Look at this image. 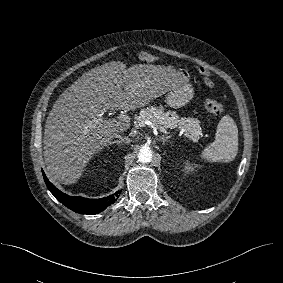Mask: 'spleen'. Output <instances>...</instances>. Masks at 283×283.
<instances>
[{
    "label": "spleen",
    "mask_w": 283,
    "mask_h": 283,
    "mask_svg": "<svg viewBox=\"0 0 283 283\" xmlns=\"http://www.w3.org/2000/svg\"><path fill=\"white\" fill-rule=\"evenodd\" d=\"M238 153V128L232 117L224 115L218 123L214 142L199 155L208 162H231Z\"/></svg>",
    "instance_id": "3e777b00"
}]
</instances>
